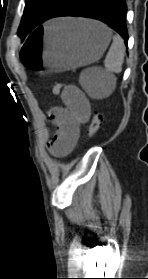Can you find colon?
<instances>
[{"mask_svg": "<svg viewBox=\"0 0 148 279\" xmlns=\"http://www.w3.org/2000/svg\"><path fill=\"white\" fill-rule=\"evenodd\" d=\"M66 86L63 83H56L53 86L52 92L54 95H60L65 90ZM102 115L98 110L93 112L92 117L88 121V136L94 137L101 127Z\"/></svg>", "mask_w": 148, "mask_h": 279, "instance_id": "colon-1", "label": "colon"}]
</instances>
